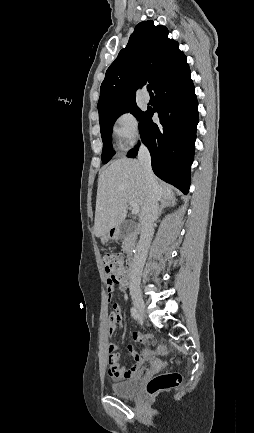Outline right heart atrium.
Segmentation results:
<instances>
[{
	"instance_id": "obj_1",
	"label": "right heart atrium",
	"mask_w": 254,
	"mask_h": 433,
	"mask_svg": "<svg viewBox=\"0 0 254 433\" xmlns=\"http://www.w3.org/2000/svg\"><path fill=\"white\" fill-rule=\"evenodd\" d=\"M112 134L122 150H129L140 138V127L137 118L130 111L120 113L114 121Z\"/></svg>"
}]
</instances>
